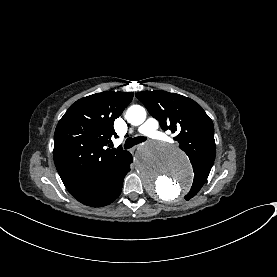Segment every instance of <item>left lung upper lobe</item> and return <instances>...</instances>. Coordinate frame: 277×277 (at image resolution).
<instances>
[{"mask_svg":"<svg viewBox=\"0 0 277 277\" xmlns=\"http://www.w3.org/2000/svg\"><path fill=\"white\" fill-rule=\"evenodd\" d=\"M136 97L155 117L164 131L178 130L174 138L189 157L194 171L186 200L194 197L205 183L215 160L214 127L202 107L190 98L166 91H142Z\"/></svg>","mask_w":277,"mask_h":277,"instance_id":"1","label":"left lung upper lobe"}]
</instances>
